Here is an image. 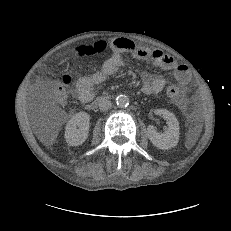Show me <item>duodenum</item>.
I'll list each match as a JSON object with an SVG mask.
<instances>
[{
	"label": "duodenum",
	"instance_id": "duodenum-1",
	"mask_svg": "<svg viewBox=\"0 0 231 231\" xmlns=\"http://www.w3.org/2000/svg\"><path fill=\"white\" fill-rule=\"evenodd\" d=\"M107 98V96H101V97H99L95 102H93V103H89V102H87L88 103V105H89V107L90 108H94V107H96L99 103H101L102 101H104L105 99Z\"/></svg>",
	"mask_w": 231,
	"mask_h": 231
}]
</instances>
